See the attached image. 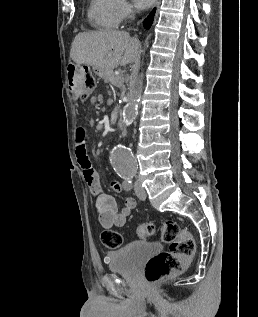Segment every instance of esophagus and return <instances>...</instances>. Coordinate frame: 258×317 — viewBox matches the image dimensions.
<instances>
[{
	"label": "esophagus",
	"instance_id": "esophagus-1",
	"mask_svg": "<svg viewBox=\"0 0 258 317\" xmlns=\"http://www.w3.org/2000/svg\"><path fill=\"white\" fill-rule=\"evenodd\" d=\"M160 3V0H157L156 5H158Z\"/></svg>",
	"mask_w": 258,
	"mask_h": 317
}]
</instances>
